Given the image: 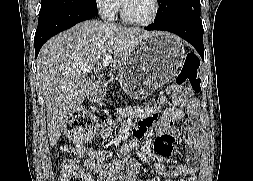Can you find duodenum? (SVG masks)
Segmentation results:
<instances>
[{
  "mask_svg": "<svg viewBox=\"0 0 253 181\" xmlns=\"http://www.w3.org/2000/svg\"><path fill=\"white\" fill-rule=\"evenodd\" d=\"M105 94V87L103 84L98 83L94 86V88L90 91L89 97L92 101L99 102L102 100Z\"/></svg>",
  "mask_w": 253,
  "mask_h": 181,
  "instance_id": "410a0bca",
  "label": "duodenum"
}]
</instances>
